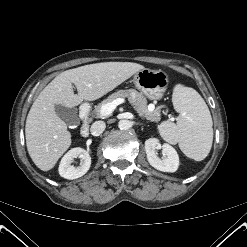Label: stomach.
I'll list each match as a JSON object with an SVG mask.
<instances>
[{
  "instance_id": "stomach-1",
  "label": "stomach",
  "mask_w": 247,
  "mask_h": 247,
  "mask_svg": "<svg viewBox=\"0 0 247 247\" xmlns=\"http://www.w3.org/2000/svg\"><path fill=\"white\" fill-rule=\"evenodd\" d=\"M133 83L149 99L160 100L169 85V77L162 70L144 68L134 75Z\"/></svg>"
}]
</instances>
